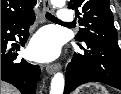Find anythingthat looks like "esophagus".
Returning a JSON list of instances; mask_svg holds the SVG:
<instances>
[{"label": "esophagus", "instance_id": "obj_1", "mask_svg": "<svg viewBox=\"0 0 121 94\" xmlns=\"http://www.w3.org/2000/svg\"><path fill=\"white\" fill-rule=\"evenodd\" d=\"M43 11L44 12H52L53 8L49 0H43ZM59 69V64H49L46 66V71L49 74L55 73Z\"/></svg>", "mask_w": 121, "mask_h": 94}]
</instances>
